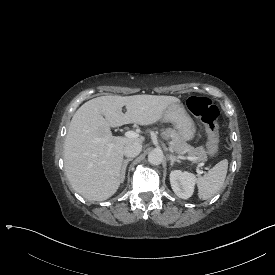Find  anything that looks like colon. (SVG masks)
Instances as JSON below:
<instances>
[{
	"label": "colon",
	"instance_id": "colon-1",
	"mask_svg": "<svg viewBox=\"0 0 275 275\" xmlns=\"http://www.w3.org/2000/svg\"><path fill=\"white\" fill-rule=\"evenodd\" d=\"M187 109L204 125L207 134V152L214 156L218 152V123L219 109L210 100L203 97L191 96L186 102Z\"/></svg>",
	"mask_w": 275,
	"mask_h": 275
}]
</instances>
